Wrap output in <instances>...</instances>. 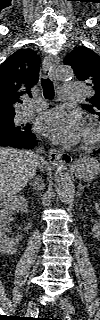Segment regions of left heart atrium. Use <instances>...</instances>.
Wrapping results in <instances>:
<instances>
[{"mask_svg":"<svg viewBox=\"0 0 100 320\" xmlns=\"http://www.w3.org/2000/svg\"><path fill=\"white\" fill-rule=\"evenodd\" d=\"M36 128L55 143L64 145H73L83 136L80 115L62 108H54L42 114Z\"/></svg>","mask_w":100,"mask_h":320,"instance_id":"1","label":"left heart atrium"}]
</instances>
